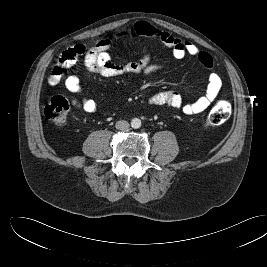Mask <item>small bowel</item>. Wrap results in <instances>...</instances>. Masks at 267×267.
I'll use <instances>...</instances> for the list:
<instances>
[{
  "instance_id": "small-bowel-1",
  "label": "small bowel",
  "mask_w": 267,
  "mask_h": 267,
  "mask_svg": "<svg viewBox=\"0 0 267 267\" xmlns=\"http://www.w3.org/2000/svg\"><path fill=\"white\" fill-rule=\"evenodd\" d=\"M137 36L161 41L170 48L175 59H182L189 55L198 59L206 68H212L213 66L212 56L208 52L200 50L194 43L177 38L146 21H137L96 42L90 44L81 43L68 47L59 56L48 77V82L51 85H57L64 80L65 88L77 96L72 101L73 106L85 112H95L98 108L97 103L85 96L79 78L76 75L65 77V71L74 66L80 57L83 58L87 70L105 77L126 74L148 75L162 69L161 65L152 62L150 54H145L138 61L123 65L112 62L110 48L120 41ZM221 89V77L216 72H211L205 94L196 100L186 103L178 92L164 90L153 94L149 98V103L166 106L170 109H178L187 115H194L205 111L217 98Z\"/></svg>"
}]
</instances>
